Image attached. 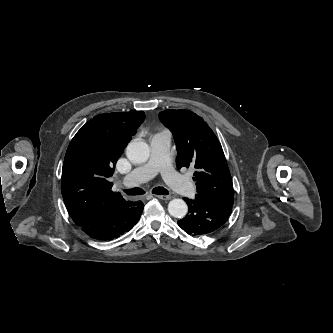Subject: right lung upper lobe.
Instances as JSON below:
<instances>
[{
	"instance_id": "cb5924a9",
	"label": "right lung upper lobe",
	"mask_w": 333,
	"mask_h": 333,
	"mask_svg": "<svg viewBox=\"0 0 333 333\" xmlns=\"http://www.w3.org/2000/svg\"><path fill=\"white\" fill-rule=\"evenodd\" d=\"M144 119L143 111L97 115L71 140L64 158L61 190L76 225H93L127 207L128 201L112 191L109 177Z\"/></svg>"
}]
</instances>
